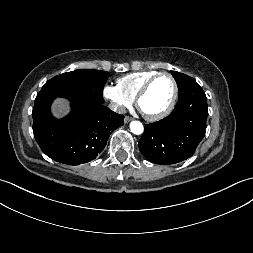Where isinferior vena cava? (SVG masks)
I'll list each match as a JSON object with an SVG mask.
<instances>
[{"label": "inferior vena cava", "mask_w": 253, "mask_h": 253, "mask_svg": "<svg viewBox=\"0 0 253 253\" xmlns=\"http://www.w3.org/2000/svg\"><path fill=\"white\" fill-rule=\"evenodd\" d=\"M109 108L115 112L120 113V114L126 113V108L124 106L118 105L116 103H110Z\"/></svg>", "instance_id": "obj_1"}]
</instances>
